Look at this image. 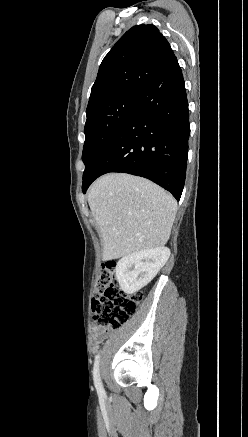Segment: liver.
<instances>
[{
	"mask_svg": "<svg viewBox=\"0 0 248 437\" xmlns=\"http://www.w3.org/2000/svg\"><path fill=\"white\" fill-rule=\"evenodd\" d=\"M87 200L103 241V259L162 247L177 212L176 200L153 182L112 173L97 179Z\"/></svg>",
	"mask_w": 248,
	"mask_h": 437,
	"instance_id": "6515ba94",
	"label": "liver"
}]
</instances>
